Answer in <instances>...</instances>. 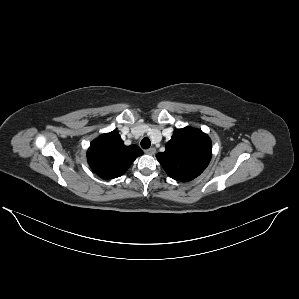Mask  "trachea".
I'll return each instance as SVG.
<instances>
[{"instance_id":"3493384b","label":"trachea","mask_w":299,"mask_h":299,"mask_svg":"<svg viewBox=\"0 0 299 299\" xmlns=\"http://www.w3.org/2000/svg\"><path fill=\"white\" fill-rule=\"evenodd\" d=\"M150 145H151V142H150V139L148 137H145V138L142 139L141 147L143 149H148L150 147Z\"/></svg>"}]
</instances>
